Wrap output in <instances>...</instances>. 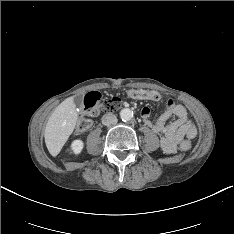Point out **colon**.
Returning a JSON list of instances; mask_svg holds the SVG:
<instances>
[{
    "label": "colon",
    "mask_w": 234,
    "mask_h": 234,
    "mask_svg": "<svg viewBox=\"0 0 234 234\" xmlns=\"http://www.w3.org/2000/svg\"><path fill=\"white\" fill-rule=\"evenodd\" d=\"M129 96L139 100L157 101L160 99V94L152 90H131ZM121 105L122 103L119 97L114 96L104 99L96 92L88 94L84 99L81 118L77 123L76 132L84 133L88 131L92 126V117L100 113L116 111L121 108ZM181 148L185 151L189 150L191 148V142L189 140H184L181 144Z\"/></svg>",
    "instance_id": "colon-1"
}]
</instances>
